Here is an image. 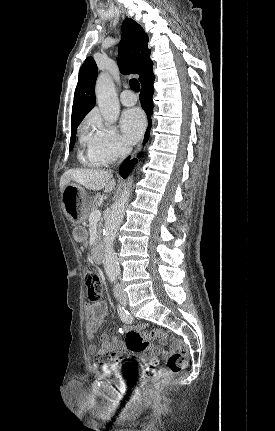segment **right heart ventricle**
Returning <instances> with one entry per match:
<instances>
[{
	"instance_id": "right-heart-ventricle-1",
	"label": "right heart ventricle",
	"mask_w": 275,
	"mask_h": 431,
	"mask_svg": "<svg viewBox=\"0 0 275 431\" xmlns=\"http://www.w3.org/2000/svg\"><path fill=\"white\" fill-rule=\"evenodd\" d=\"M87 161H88V163H89L90 165H92V166H101V165H103V164H101V163L91 162L90 160H88V158H87Z\"/></svg>"
}]
</instances>
